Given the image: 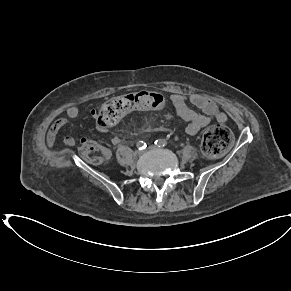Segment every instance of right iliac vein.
Wrapping results in <instances>:
<instances>
[{
	"instance_id": "right-iliac-vein-1",
	"label": "right iliac vein",
	"mask_w": 291,
	"mask_h": 291,
	"mask_svg": "<svg viewBox=\"0 0 291 291\" xmlns=\"http://www.w3.org/2000/svg\"><path fill=\"white\" fill-rule=\"evenodd\" d=\"M141 154H142V152L139 151V150H136V151L134 152V155H135V156H140Z\"/></svg>"
}]
</instances>
